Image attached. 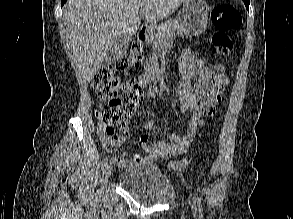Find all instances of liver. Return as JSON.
Instances as JSON below:
<instances>
[{
    "label": "liver",
    "mask_w": 293,
    "mask_h": 219,
    "mask_svg": "<svg viewBox=\"0 0 293 219\" xmlns=\"http://www.w3.org/2000/svg\"><path fill=\"white\" fill-rule=\"evenodd\" d=\"M187 0H68L63 7L73 60L84 80H91L107 57L119 35L132 37L141 24L137 14L144 13L147 23L174 13Z\"/></svg>",
    "instance_id": "6515ba94"
}]
</instances>
